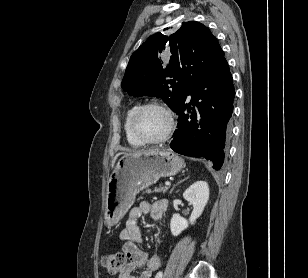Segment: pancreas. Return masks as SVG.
Here are the masks:
<instances>
[{
    "label": "pancreas",
    "mask_w": 308,
    "mask_h": 278,
    "mask_svg": "<svg viewBox=\"0 0 308 278\" xmlns=\"http://www.w3.org/2000/svg\"><path fill=\"white\" fill-rule=\"evenodd\" d=\"M168 186H160L159 188H155L153 192H162L165 193L168 190Z\"/></svg>",
    "instance_id": "obj_1"
}]
</instances>
